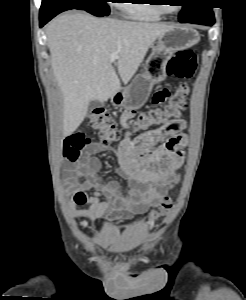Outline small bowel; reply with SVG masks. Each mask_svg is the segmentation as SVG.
Instances as JSON below:
<instances>
[{
  "label": "small bowel",
  "instance_id": "small-bowel-1",
  "mask_svg": "<svg viewBox=\"0 0 246 300\" xmlns=\"http://www.w3.org/2000/svg\"><path fill=\"white\" fill-rule=\"evenodd\" d=\"M134 113L135 110L127 109L121 114L125 137L116 148L88 140L80 158L66 168L64 188L71 196L69 210L74 218L93 223L106 217L118 219L113 216L115 212L142 213L157 206L179 181L178 169L184 162L183 148L187 143L182 132L185 121L179 119L181 125L177 131L149 155L133 145L129 121ZM104 151L116 154L119 166L114 173L126 177L127 193H123L117 180L101 174L102 163L97 155Z\"/></svg>",
  "mask_w": 246,
  "mask_h": 300
}]
</instances>
